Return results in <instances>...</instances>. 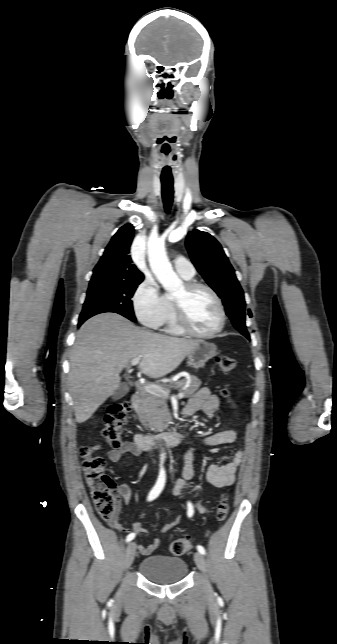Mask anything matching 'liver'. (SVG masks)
<instances>
[{
  "label": "liver",
  "mask_w": 337,
  "mask_h": 644,
  "mask_svg": "<svg viewBox=\"0 0 337 644\" xmlns=\"http://www.w3.org/2000/svg\"><path fill=\"white\" fill-rule=\"evenodd\" d=\"M200 340L153 333L115 313L87 320L70 354L69 388L78 423L87 421L120 386V372L136 357L151 378L174 371Z\"/></svg>",
  "instance_id": "6515ba94"
}]
</instances>
